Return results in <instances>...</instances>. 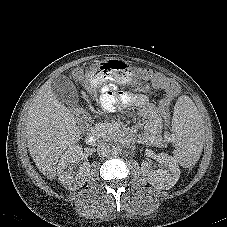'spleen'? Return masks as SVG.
<instances>
[{
    "instance_id": "obj_1",
    "label": "spleen",
    "mask_w": 227,
    "mask_h": 227,
    "mask_svg": "<svg viewBox=\"0 0 227 227\" xmlns=\"http://www.w3.org/2000/svg\"><path fill=\"white\" fill-rule=\"evenodd\" d=\"M174 128L178 135L176 144L179 149L178 160L183 167H189L196 163L201 152L203 135L202 125L199 122L200 113L194 107L191 98L180 96L173 103Z\"/></svg>"
}]
</instances>
